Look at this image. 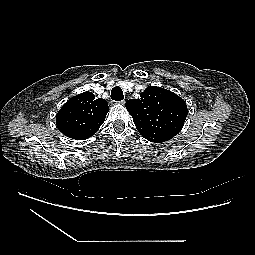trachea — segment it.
I'll list each match as a JSON object with an SVG mask.
<instances>
[{"instance_id": "3493384b", "label": "trachea", "mask_w": 255, "mask_h": 255, "mask_svg": "<svg viewBox=\"0 0 255 255\" xmlns=\"http://www.w3.org/2000/svg\"><path fill=\"white\" fill-rule=\"evenodd\" d=\"M111 99L121 101L124 99L123 91L119 86H116L111 91Z\"/></svg>"}]
</instances>
